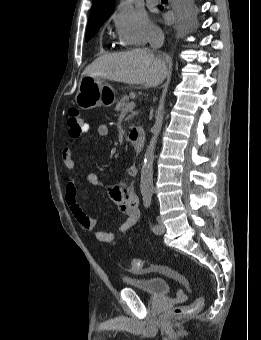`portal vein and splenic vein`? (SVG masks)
I'll list each match as a JSON object with an SVG mask.
<instances>
[{
	"label": "portal vein and splenic vein",
	"mask_w": 261,
	"mask_h": 340,
	"mask_svg": "<svg viewBox=\"0 0 261 340\" xmlns=\"http://www.w3.org/2000/svg\"><path fill=\"white\" fill-rule=\"evenodd\" d=\"M136 106V103L134 101L130 102L127 106L128 111H132Z\"/></svg>",
	"instance_id": "obj_1"
}]
</instances>
